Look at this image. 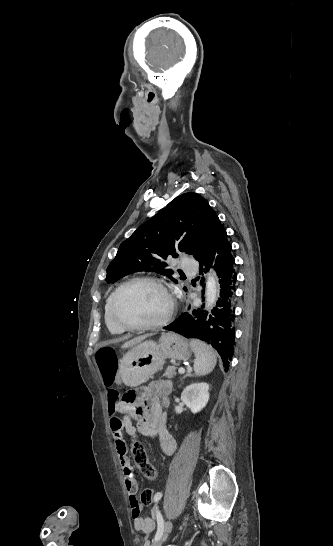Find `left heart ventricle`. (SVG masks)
<instances>
[{"label": "left heart ventricle", "instance_id": "left-heart-ventricle-1", "mask_svg": "<svg viewBox=\"0 0 333 546\" xmlns=\"http://www.w3.org/2000/svg\"><path fill=\"white\" fill-rule=\"evenodd\" d=\"M168 298L161 288L149 283H133L119 294L117 314L128 324L160 320L167 312Z\"/></svg>", "mask_w": 333, "mask_h": 546}]
</instances>
